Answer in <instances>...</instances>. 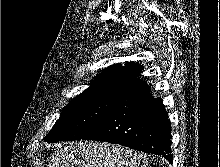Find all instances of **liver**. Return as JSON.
<instances>
[{
  "mask_svg": "<svg viewBox=\"0 0 220 167\" xmlns=\"http://www.w3.org/2000/svg\"><path fill=\"white\" fill-rule=\"evenodd\" d=\"M145 154L106 142L60 143L48 167H146Z\"/></svg>",
  "mask_w": 220,
  "mask_h": 167,
  "instance_id": "6515ba94",
  "label": "liver"
}]
</instances>
